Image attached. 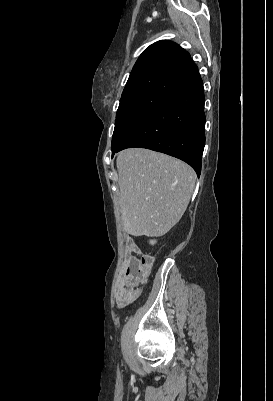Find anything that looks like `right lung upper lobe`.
<instances>
[{"label":"right lung upper lobe","mask_w":273,"mask_h":401,"mask_svg":"<svg viewBox=\"0 0 273 401\" xmlns=\"http://www.w3.org/2000/svg\"><path fill=\"white\" fill-rule=\"evenodd\" d=\"M198 77L197 66L187 51L174 42L160 40L140 55L122 97L140 93L168 96Z\"/></svg>","instance_id":"cb5924a9"}]
</instances>
